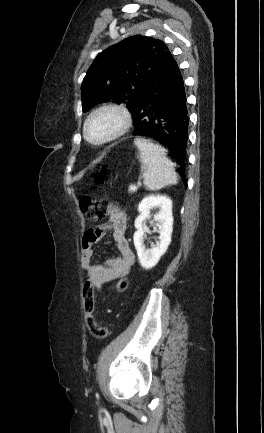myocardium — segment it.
I'll return each mask as SVG.
<instances>
[{
  "mask_svg": "<svg viewBox=\"0 0 264 433\" xmlns=\"http://www.w3.org/2000/svg\"><path fill=\"white\" fill-rule=\"evenodd\" d=\"M104 113H113L117 115L119 119L118 125L110 133L100 138H92L88 133L89 124L95 118H97L98 116ZM131 125H132V115L126 107L116 103H107L95 108L93 111L89 113V115L86 117L83 123L82 134H83V138L89 144L94 146H101V145L111 143L119 139L123 135H125L130 129Z\"/></svg>",
  "mask_w": 264,
  "mask_h": 433,
  "instance_id": "obj_1",
  "label": "myocardium"
}]
</instances>
